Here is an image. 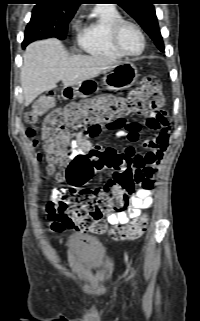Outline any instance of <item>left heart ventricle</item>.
I'll list each match as a JSON object with an SVG mask.
<instances>
[{
    "instance_id": "b2bd125f",
    "label": "left heart ventricle",
    "mask_w": 200,
    "mask_h": 321,
    "mask_svg": "<svg viewBox=\"0 0 200 321\" xmlns=\"http://www.w3.org/2000/svg\"><path fill=\"white\" fill-rule=\"evenodd\" d=\"M123 48L130 53H137L142 48V39L138 31L132 26H125L120 34Z\"/></svg>"
}]
</instances>
